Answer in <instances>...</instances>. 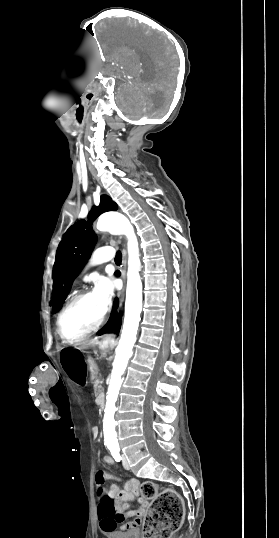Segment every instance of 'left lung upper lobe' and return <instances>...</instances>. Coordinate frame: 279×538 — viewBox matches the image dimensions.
<instances>
[{"mask_svg": "<svg viewBox=\"0 0 279 538\" xmlns=\"http://www.w3.org/2000/svg\"><path fill=\"white\" fill-rule=\"evenodd\" d=\"M117 210V204L108 196H101L100 205L93 207L88 221L80 220L64 234L58 246L53 270V298L50 306L57 312L70 292L73 280L90 257L96 243L91 224L102 213Z\"/></svg>", "mask_w": 279, "mask_h": 538, "instance_id": "obj_1", "label": "left lung upper lobe"}]
</instances>
